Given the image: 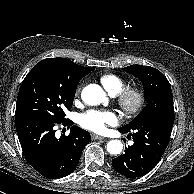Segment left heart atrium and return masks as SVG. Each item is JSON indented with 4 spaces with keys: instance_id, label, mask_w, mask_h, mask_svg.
I'll list each match as a JSON object with an SVG mask.
<instances>
[{
    "instance_id": "1",
    "label": "left heart atrium",
    "mask_w": 194,
    "mask_h": 194,
    "mask_svg": "<svg viewBox=\"0 0 194 194\" xmlns=\"http://www.w3.org/2000/svg\"><path fill=\"white\" fill-rule=\"evenodd\" d=\"M118 123L117 115L112 111L90 110L82 114L80 124L82 127L93 132H104L108 125Z\"/></svg>"
}]
</instances>
